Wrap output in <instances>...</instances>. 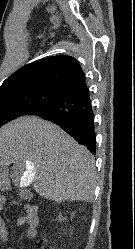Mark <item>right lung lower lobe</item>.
<instances>
[{"instance_id":"obj_1","label":"right lung lower lobe","mask_w":135,"mask_h":249,"mask_svg":"<svg viewBox=\"0 0 135 249\" xmlns=\"http://www.w3.org/2000/svg\"><path fill=\"white\" fill-rule=\"evenodd\" d=\"M28 115H37L54 122L88 150L96 153L94 113L86 85L60 93Z\"/></svg>"}]
</instances>
